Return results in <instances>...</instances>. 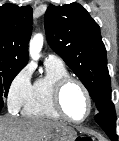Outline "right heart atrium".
<instances>
[{
	"label": "right heart atrium",
	"mask_w": 119,
	"mask_h": 141,
	"mask_svg": "<svg viewBox=\"0 0 119 141\" xmlns=\"http://www.w3.org/2000/svg\"><path fill=\"white\" fill-rule=\"evenodd\" d=\"M31 78L32 67L27 65L11 81L7 93V103L11 112H18L24 106L31 91Z\"/></svg>",
	"instance_id": "1"
}]
</instances>
